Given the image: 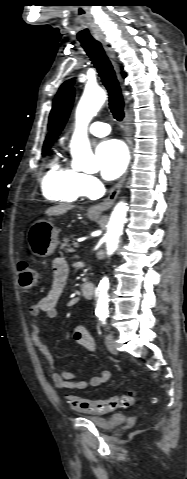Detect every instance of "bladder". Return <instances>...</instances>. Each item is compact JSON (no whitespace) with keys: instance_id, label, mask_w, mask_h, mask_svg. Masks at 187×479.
Instances as JSON below:
<instances>
[{"instance_id":"obj_1","label":"bladder","mask_w":187,"mask_h":479,"mask_svg":"<svg viewBox=\"0 0 187 479\" xmlns=\"http://www.w3.org/2000/svg\"><path fill=\"white\" fill-rule=\"evenodd\" d=\"M84 417L89 419L99 429L104 431H109L117 425V420L115 417L104 418V417H97L93 415H84Z\"/></svg>"}]
</instances>
